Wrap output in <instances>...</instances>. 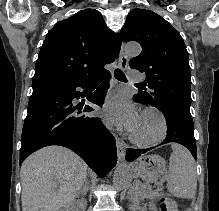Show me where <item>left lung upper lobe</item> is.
Returning <instances> with one entry per match:
<instances>
[{
  "label": "left lung upper lobe",
  "mask_w": 219,
  "mask_h": 211,
  "mask_svg": "<svg viewBox=\"0 0 219 211\" xmlns=\"http://www.w3.org/2000/svg\"><path fill=\"white\" fill-rule=\"evenodd\" d=\"M123 41H137L142 52L130 61V67L146 73L151 91L135 96L143 104L171 114L192 118L191 77L188 52L179 32L164 18L145 9L132 10L121 29Z\"/></svg>",
  "instance_id": "5c2ea615"
}]
</instances>
